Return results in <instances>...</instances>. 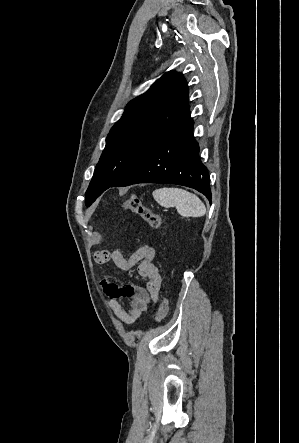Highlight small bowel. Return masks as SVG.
<instances>
[{
    "mask_svg": "<svg viewBox=\"0 0 299 443\" xmlns=\"http://www.w3.org/2000/svg\"><path fill=\"white\" fill-rule=\"evenodd\" d=\"M155 249L151 246H142L126 258L118 249L99 250L94 254L98 264L112 261L114 265L124 271L137 267L141 277L146 280V287L134 284H118L101 277L100 285L109 299V306L116 317L128 325L137 322L150 302L157 300L162 283V276L154 264ZM120 299H128L129 307L125 308Z\"/></svg>",
    "mask_w": 299,
    "mask_h": 443,
    "instance_id": "c3829d8e",
    "label": "small bowel"
}]
</instances>
